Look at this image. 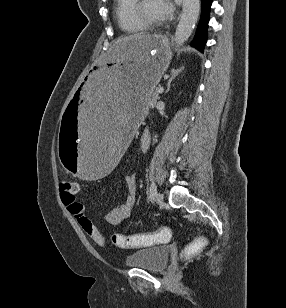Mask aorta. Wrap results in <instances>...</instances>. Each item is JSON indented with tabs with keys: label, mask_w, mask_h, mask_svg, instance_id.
<instances>
[{
	"label": "aorta",
	"mask_w": 286,
	"mask_h": 308,
	"mask_svg": "<svg viewBox=\"0 0 286 308\" xmlns=\"http://www.w3.org/2000/svg\"><path fill=\"white\" fill-rule=\"evenodd\" d=\"M199 13L200 0H183L181 18L175 31L177 45H183L188 40L198 21Z\"/></svg>",
	"instance_id": "1"
}]
</instances>
